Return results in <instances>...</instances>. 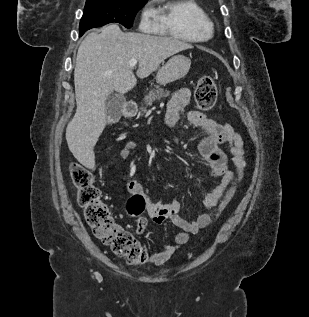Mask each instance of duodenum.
Masks as SVG:
<instances>
[{"instance_id":"410a0bca","label":"duodenum","mask_w":309,"mask_h":317,"mask_svg":"<svg viewBox=\"0 0 309 317\" xmlns=\"http://www.w3.org/2000/svg\"><path fill=\"white\" fill-rule=\"evenodd\" d=\"M135 111H136V105L134 103H127L123 108V115L129 118L135 114Z\"/></svg>"}]
</instances>
